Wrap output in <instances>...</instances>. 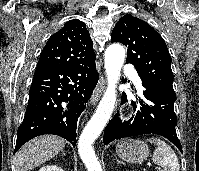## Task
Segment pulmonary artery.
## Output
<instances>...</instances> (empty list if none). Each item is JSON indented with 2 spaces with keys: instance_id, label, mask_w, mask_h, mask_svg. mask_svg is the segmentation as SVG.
Wrapping results in <instances>:
<instances>
[{
  "instance_id": "1",
  "label": "pulmonary artery",
  "mask_w": 199,
  "mask_h": 171,
  "mask_svg": "<svg viewBox=\"0 0 199 171\" xmlns=\"http://www.w3.org/2000/svg\"><path fill=\"white\" fill-rule=\"evenodd\" d=\"M126 74L129 75L134 82H136L138 85H141V81L135 71H133L129 66L126 67Z\"/></svg>"
}]
</instances>
